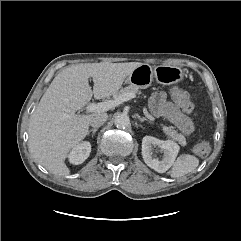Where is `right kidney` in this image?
Returning a JSON list of instances; mask_svg holds the SVG:
<instances>
[{
	"mask_svg": "<svg viewBox=\"0 0 241 241\" xmlns=\"http://www.w3.org/2000/svg\"><path fill=\"white\" fill-rule=\"evenodd\" d=\"M91 144L90 142H82L76 145L69 154V161L72 164L78 165L83 163L90 155Z\"/></svg>",
	"mask_w": 241,
	"mask_h": 241,
	"instance_id": "obj_1",
	"label": "right kidney"
}]
</instances>
